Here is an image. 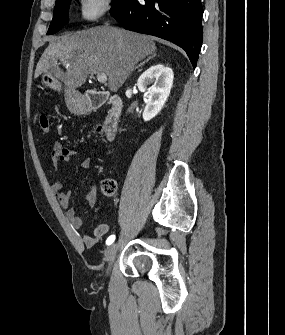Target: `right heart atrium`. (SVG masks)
Returning <instances> with one entry per match:
<instances>
[{
  "label": "right heart atrium",
  "instance_id": "d8ad5b80",
  "mask_svg": "<svg viewBox=\"0 0 285 335\" xmlns=\"http://www.w3.org/2000/svg\"><path fill=\"white\" fill-rule=\"evenodd\" d=\"M108 1H83L81 2L76 16L84 24H90L98 20L108 9Z\"/></svg>",
  "mask_w": 285,
  "mask_h": 335
}]
</instances>
